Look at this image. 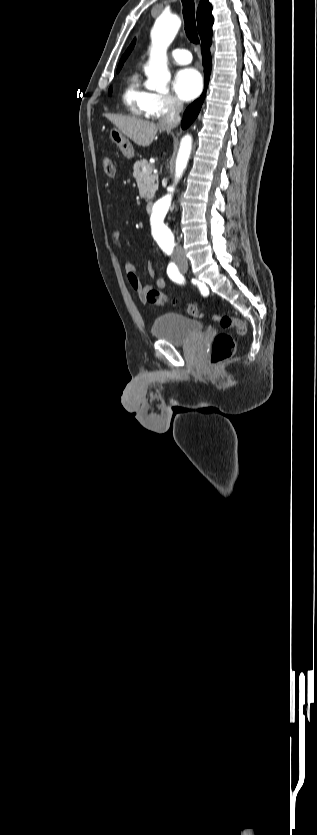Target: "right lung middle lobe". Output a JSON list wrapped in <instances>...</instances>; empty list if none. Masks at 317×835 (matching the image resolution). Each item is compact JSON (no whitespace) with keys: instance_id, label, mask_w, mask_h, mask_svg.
I'll return each instance as SVG.
<instances>
[{"instance_id":"1","label":"right lung middle lobe","mask_w":317,"mask_h":835,"mask_svg":"<svg viewBox=\"0 0 317 835\" xmlns=\"http://www.w3.org/2000/svg\"><path fill=\"white\" fill-rule=\"evenodd\" d=\"M122 65H123V64L118 65L117 72H119V71H120V69H121ZM111 93H112V89H111V88H109V95H111Z\"/></svg>"}]
</instances>
